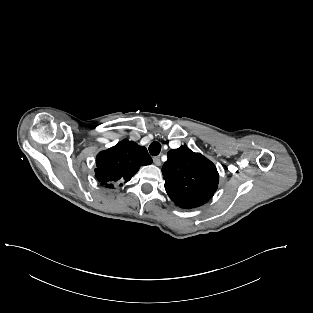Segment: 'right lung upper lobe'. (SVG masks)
I'll return each instance as SVG.
<instances>
[{"instance_id":"obj_1","label":"right lung upper lobe","mask_w":313,"mask_h":313,"mask_svg":"<svg viewBox=\"0 0 313 313\" xmlns=\"http://www.w3.org/2000/svg\"><path fill=\"white\" fill-rule=\"evenodd\" d=\"M151 163L144 146L123 140L97 155L95 176L102 185L114 188V184L128 182L141 166Z\"/></svg>"}]
</instances>
